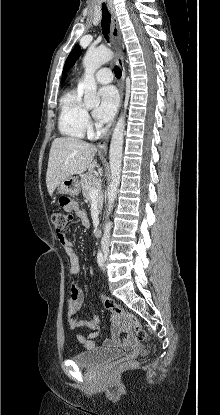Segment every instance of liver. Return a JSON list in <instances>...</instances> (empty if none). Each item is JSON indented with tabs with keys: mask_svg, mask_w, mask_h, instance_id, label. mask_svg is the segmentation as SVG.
Instances as JSON below:
<instances>
[{
	"mask_svg": "<svg viewBox=\"0 0 220 415\" xmlns=\"http://www.w3.org/2000/svg\"><path fill=\"white\" fill-rule=\"evenodd\" d=\"M96 152L97 148L85 141L70 137L56 138L50 148L46 173L49 195L68 177L86 170L94 172L97 162L93 158Z\"/></svg>",
	"mask_w": 220,
	"mask_h": 415,
	"instance_id": "1",
	"label": "liver"
}]
</instances>
